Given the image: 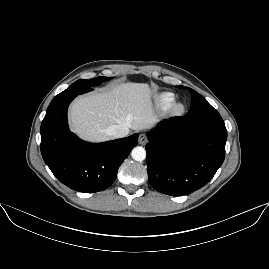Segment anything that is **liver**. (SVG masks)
<instances>
[{
  "label": "liver",
  "instance_id": "6515ba94",
  "mask_svg": "<svg viewBox=\"0 0 269 269\" xmlns=\"http://www.w3.org/2000/svg\"><path fill=\"white\" fill-rule=\"evenodd\" d=\"M149 90L146 85L130 83L113 86L103 94L77 99L71 107L72 128L92 140L107 138L106 129L127 124L132 129L153 122Z\"/></svg>",
  "mask_w": 269,
  "mask_h": 269
}]
</instances>
